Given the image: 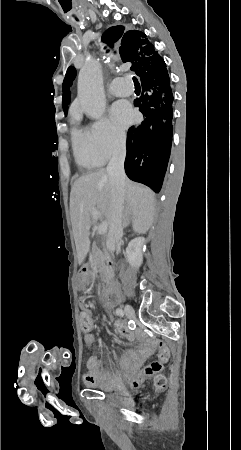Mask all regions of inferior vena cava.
<instances>
[{
    "mask_svg": "<svg viewBox=\"0 0 241 450\" xmlns=\"http://www.w3.org/2000/svg\"><path fill=\"white\" fill-rule=\"evenodd\" d=\"M126 158V136H122L121 144L113 154L106 172L109 176L112 194V216L109 224V232L106 240L107 250L114 252L116 240H121L123 236V220L125 214V170L124 162Z\"/></svg>",
    "mask_w": 241,
    "mask_h": 450,
    "instance_id": "602c4592",
    "label": "inferior vena cava"
}]
</instances>
